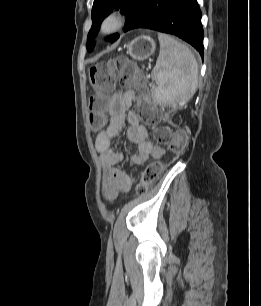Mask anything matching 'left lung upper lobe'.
Instances as JSON below:
<instances>
[{"label": "left lung upper lobe", "instance_id": "5c2ea615", "mask_svg": "<svg viewBox=\"0 0 261 306\" xmlns=\"http://www.w3.org/2000/svg\"><path fill=\"white\" fill-rule=\"evenodd\" d=\"M145 0H94L92 7V27L89 31L87 40V50L92 51L95 33L99 30L102 20L114 9H121V13L126 15L127 25L135 17ZM119 37L114 34L108 37L110 42H114Z\"/></svg>", "mask_w": 261, "mask_h": 306}]
</instances>
